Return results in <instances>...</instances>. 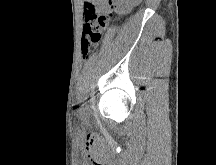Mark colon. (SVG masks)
Returning <instances> with one entry per match:
<instances>
[{"label": "colon", "mask_w": 216, "mask_h": 165, "mask_svg": "<svg viewBox=\"0 0 216 165\" xmlns=\"http://www.w3.org/2000/svg\"><path fill=\"white\" fill-rule=\"evenodd\" d=\"M119 0H110V7L115 10ZM112 12L108 14H98L96 10H86L84 8L85 23L83 26L82 45L81 50L84 57H89L95 47L102 38L103 32L106 30Z\"/></svg>", "instance_id": "5ec220e1"}]
</instances>
